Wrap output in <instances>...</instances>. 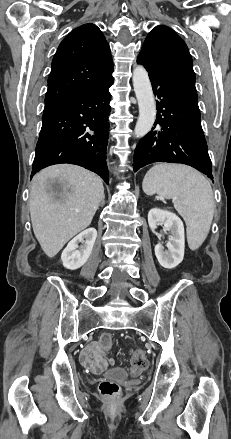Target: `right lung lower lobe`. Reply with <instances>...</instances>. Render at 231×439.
I'll use <instances>...</instances> for the list:
<instances>
[{
	"label": "right lung lower lobe",
	"mask_w": 231,
	"mask_h": 439,
	"mask_svg": "<svg viewBox=\"0 0 231 439\" xmlns=\"http://www.w3.org/2000/svg\"><path fill=\"white\" fill-rule=\"evenodd\" d=\"M112 84L113 78L44 111L31 177L47 166L69 163L97 173L108 184V88Z\"/></svg>",
	"instance_id": "right-lung-lower-lobe-1"
}]
</instances>
